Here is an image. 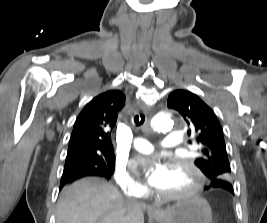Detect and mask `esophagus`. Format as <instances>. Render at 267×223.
Here are the masks:
<instances>
[{
	"label": "esophagus",
	"instance_id": "1",
	"mask_svg": "<svg viewBox=\"0 0 267 223\" xmlns=\"http://www.w3.org/2000/svg\"><path fill=\"white\" fill-rule=\"evenodd\" d=\"M142 109L145 111L146 109H145V107H142Z\"/></svg>",
	"mask_w": 267,
	"mask_h": 223
}]
</instances>
